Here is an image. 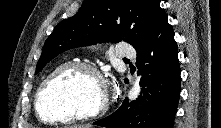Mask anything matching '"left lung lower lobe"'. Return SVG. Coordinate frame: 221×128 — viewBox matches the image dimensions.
<instances>
[{
	"label": "left lung lower lobe",
	"mask_w": 221,
	"mask_h": 128,
	"mask_svg": "<svg viewBox=\"0 0 221 128\" xmlns=\"http://www.w3.org/2000/svg\"><path fill=\"white\" fill-rule=\"evenodd\" d=\"M141 94L126 98L110 116L94 122L107 128H172L180 95L178 48L167 15L149 37L135 47Z\"/></svg>",
	"instance_id": "left-lung-lower-lobe-1"
}]
</instances>
